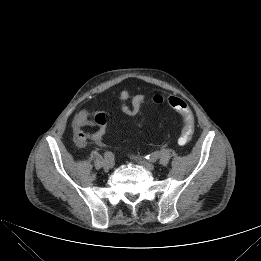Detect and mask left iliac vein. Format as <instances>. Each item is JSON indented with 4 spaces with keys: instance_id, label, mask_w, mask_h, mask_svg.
I'll list each match as a JSON object with an SVG mask.
<instances>
[{
    "instance_id": "4c4485c4",
    "label": "left iliac vein",
    "mask_w": 261,
    "mask_h": 261,
    "mask_svg": "<svg viewBox=\"0 0 261 261\" xmlns=\"http://www.w3.org/2000/svg\"><path fill=\"white\" fill-rule=\"evenodd\" d=\"M138 162L146 169L152 170L154 168V164L152 162L139 159Z\"/></svg>"
}]
</instances>
